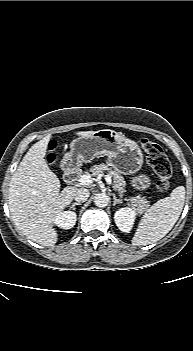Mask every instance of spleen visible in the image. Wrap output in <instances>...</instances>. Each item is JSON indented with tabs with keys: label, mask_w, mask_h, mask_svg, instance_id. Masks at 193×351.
I'll list each match as a JSON object with an SVG mask.
<instances>
[{
	"label": "spleen",
	"mask_w": 193,
	"mask_h": 351,
	"mask_svg": "<svg viewBox=\"0 0 193 351\" xmlns=\"http://www.w3.org/2000/svg\"><path fill=\"white\" fill-rule=\"evenodd\" d=\"M185 202V187H176L170 197L154 203L143 215L132 244L136 246L155 243L163 238L177 222Z\"/></svg>",
	"instance_id": "spleen-1"
}]
</instances>
